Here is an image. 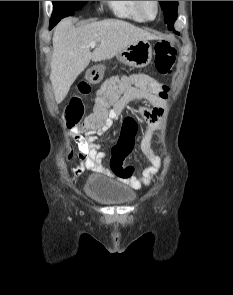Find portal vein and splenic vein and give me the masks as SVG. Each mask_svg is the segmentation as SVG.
Wrapping results in <instances>:
<instances>
[{"mask_svg":"<svg viewBox=\"0 0 233 295\" xmlns=\"http://www.w3.org/2000/svg\"><path fill=\"white\" fill-rule=\"evenodd\" d=\"M89 46L91 48H95L96 47V42L95 41H91L90 44H89Z\"/></svg>","mask_w":233,"mask_h":295,"instance_id":"portal-vein-and-splenic-vein-1","label":"portal vein and splenic vein"}]
</instances>
